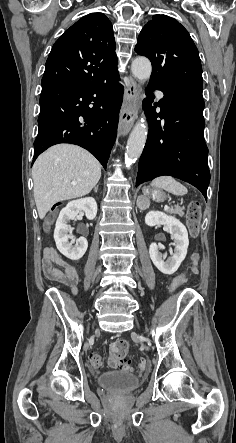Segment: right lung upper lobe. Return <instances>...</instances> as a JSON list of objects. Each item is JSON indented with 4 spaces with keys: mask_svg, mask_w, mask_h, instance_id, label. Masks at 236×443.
Listing matches in <instances>:
<instances>
[{
    "mask_svg": "<svg viewBox=\"0 0 236 443\" xmlns=\"http://www.w3.org/2000/svg\"><path fill=\"white\" fill-rule=\"evenodd\" d=\"M117 73L110 20L102 13L82 17L54 43L42 87L91 83Z\"/></svg>",
    "mask_w": 236,
    "mask_h": 443,
    "instance_id": "right-lung-upper-lobe-1",
    "label": "right lung upper lobe"
}]
</instances>
